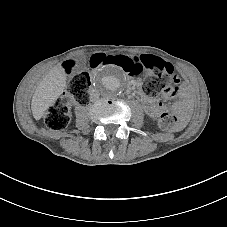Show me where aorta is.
Listing matches in <instances>:
<instances>
[{
    "label": "aorta",
    "mask_w": 227,
    "mask_h": 227,
    "mask_svg": "<svg viewBox=\"0 0 227 227\" xmlns=\"http://www.w3.org/2000/svg\"><path fill=\"white\" fill-rule=\"evenodd\" d=\"M93 87L103 97H114L122 93L125 78L118 67L107 65L96 72Z\"/></svg>",
    "instance_id": "1"
}]
</instances>
